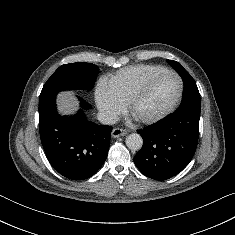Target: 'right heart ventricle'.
<instances>
[{
    "instance_id": "right-heart-ventricle-1",
    "label": "right heart ventricle",
    "mask_w": 235,
    "mask_h": 235,
    "mask_svg": "<svg viewBox=\"0 0 235 235\" xmlns=\"http://www.w3.org/2000/svg\"><path fill=\"white\" fill-rule=\"evenodd\" d=\"M165 70L162 66L149 64L128 66L109 75L104 84L116 100L125 106L150 76Z\"/></svg>"
}]
</instances>
